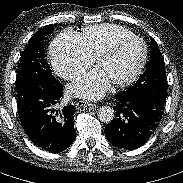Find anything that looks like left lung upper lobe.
I'll use <instances>...</instances> for the list:
<instances>
[{"label": "left lung upper lobe", "mask_w": 183, "mask_h": 183, "mask_svg": "<svg viewBox=\"0 0 183 183\" xmlns=\"http://www.w3.org/2000/svg\"><path fill=\"white\" fill-rule=\"evenodd\" d=\"M151 59L144 74L126 92L132 96L142 97L158 105H164L167 97V79L165 63L157 42L151 38Z\"/></svg>", "instance_id": "5c2ea615"}]
</instances>
